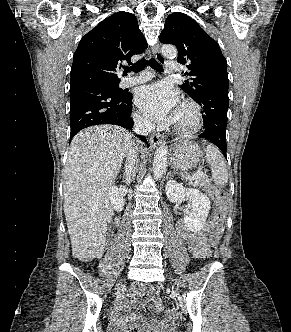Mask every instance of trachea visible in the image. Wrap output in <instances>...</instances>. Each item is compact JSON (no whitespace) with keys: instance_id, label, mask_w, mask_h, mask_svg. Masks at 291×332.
Returning <instances> with one entry per match:
<instances>
[{"instance_id":"obj_1","label":"trachea","mask_w":291,"mask_h":332,"mask_svg":"<svg viewBox=\"0 0 291 332\" xmlns=\"http://www.w3.org/2000/svg\"><path fill=\"white\" fill-rule=\"evenodd\" d=\"M147 64H149L154 70L163 72V68L154 58L146 60L144 57L130 68H127L126 71L129 72L130 70H133L134 72H138L144 69Z\"/></svg>"}]
</instances>
